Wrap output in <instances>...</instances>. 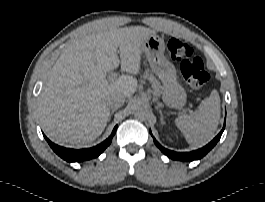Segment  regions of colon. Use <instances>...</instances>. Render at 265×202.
Here are the masks:
<instances>
[{
    "mask_svg": "<svg viewBox=\"0 0 265 202\" xmlns=\"http://www.w3.org/2000/svg\"><path fill=\"white\" fill-rule=\"evenodd\" d=\"M167 47L187 84L193 89L202 87L209 77L202 59L194 56L193 47L177 38H170Z\"/></svg>",
    "mask_w": 265,
    "mask_h": 202,
    "instance_id": "colon-1",
    "label": "colon"
}]
</instances>
